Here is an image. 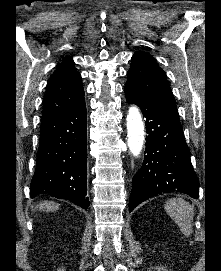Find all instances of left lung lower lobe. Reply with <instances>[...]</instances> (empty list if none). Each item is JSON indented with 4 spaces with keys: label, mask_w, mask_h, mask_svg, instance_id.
<instances>
[{
    "label": "left lung lower lobe",
    "mask_w": 221,
    "mask_h": 271,
    "mask_svg": "<svg viewBox=\"0 0 221 271\" xmlns=\"http://www.w3.org/2000/svg\"><path fill=\"white\" fill-rule=\"evenodd\" d=\"M127 101L141 108L146 118V149L143 164L132 179L129 212L158 194L182 192L199 197V182L190 161L179 117L152 103L139 90L125 85Z\"/></svg>",
    "instance_id": "obj_1"
}]
</instances>
